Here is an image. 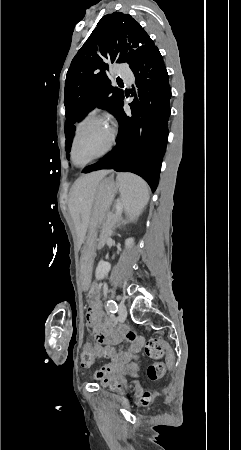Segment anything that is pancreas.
Returning a JSON list of instances; mask_svg holds the SVG:
<instances>
[{
  "label": "pancreas",
  "instance_id": "cf45deb5",
  "mask_svg": "<svg viewBox=\"0 0 241 450\" xmlns=\"http://www.w3.org/2000/svg\"><path fill=\"white\" fill-rule=\"evenodd\" d=\"M119 220L118 214H113V212H109L108 218L106 220V232H113V224ZM104 230V229H102ZM106 232H101L100 236L97 238V242L95 245V250H101V247L104 246V244H108L111 241L110 236L106 234Z\"/></svg>",
  "mask_w": 241,
  "mask_h": 450
}]
</instances>
